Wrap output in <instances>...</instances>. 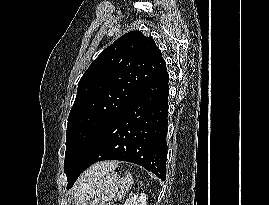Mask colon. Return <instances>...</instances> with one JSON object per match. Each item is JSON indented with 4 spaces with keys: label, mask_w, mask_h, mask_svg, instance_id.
Listing matches in <instances>:
<instances>
[{
    "label": "colon",
    "mask_w": 269,
    "mask_h": 205,
    "mask_svg": "<svg viewBox=\"0 0 269 205\" xmlns=\"http://www.w3.org/2000/svg\"><path fill=\"white\" fill-rule=\"evenodd\" d=\"M107 205H115V204H113V203H109V204H107Z\"/></svg>",
    "instance_id": "1"
}]
</instances>
